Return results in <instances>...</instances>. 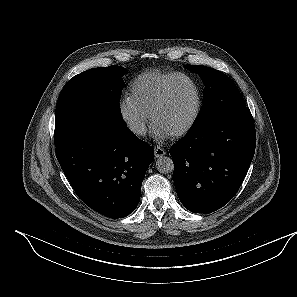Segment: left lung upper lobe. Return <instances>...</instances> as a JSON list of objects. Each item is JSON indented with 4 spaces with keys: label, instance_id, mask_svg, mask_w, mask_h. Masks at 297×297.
Here are the masks:
<instances>
[{
    "label": "left lung upper lobe",
    "instance_id": "obj_1",
    "mask_svg": "<svg viewBox=\"0 0 297 297\" xmlns=\"http://www.w3.org/2000/svg\"><path fill=\"white\" fill-rule=\"evenodd\" d=\"M184 67L197 73L205 85L203 106L192 128L212 121L229 109L246 106L237 86L224 73L200 65H184Z\"/></svg>",
    "mask_w": 297,
    "mask_h": 297
}]
</instances>
